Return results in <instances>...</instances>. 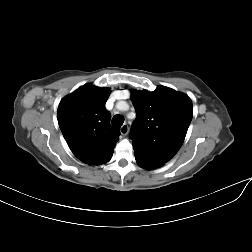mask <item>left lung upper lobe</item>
Masks as SVG:
<instances>
[{
  "label": "left lung upper lobe",
  "instance_id": "left-lung-upper-lobe-1",
  "mask_svg": "<svg viewBox=\"0 0 252 252\" xmlns=\"http://www.w3.org/2000/svg\"><path fill=\"white\" fill-rule=\"evenodd\" d=\"M136 110L130 138L134 151L168 162L182 146L193 117L191 99L165 86L133 90Z\"/></svg>",
  "mask_w": 252,
  "mask_h": 252
}]
</instances>
